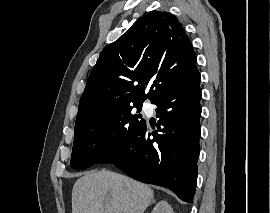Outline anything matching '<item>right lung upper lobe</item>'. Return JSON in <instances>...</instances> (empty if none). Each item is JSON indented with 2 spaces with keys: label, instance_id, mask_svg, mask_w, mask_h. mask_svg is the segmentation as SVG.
<instances>
[{
  "label": "right lung upper lobe",
  "instance_id": "obj_1",
  "mask_svg": "<svg viewBox=\"0 0 270 213\" xmlns=\"http://www.w3.org/2000/svg\"><path fill=\"white\" fill-rule=\"evenodd\" d=\"M195 63L192 44L176 17L150 12L103 49L80 99L76 123L146 98L152 102L186 77Z\"/></svg>",
  "mask_w": 270,
  "mask_h": 213
}]
</instances>
